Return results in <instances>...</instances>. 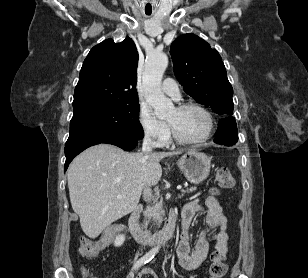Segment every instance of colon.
Here are the masks:
<instances>
[{
    "instance_id": "obj_1",
    "label": "colon",
    "mask_w": 308,
    "mask_h": 278,
    "mask_svg": "<svg viewBox=\"0 0 308 278\" xmlns=\"http://www.w3.org/2000/svg\"><path fill=\"white\" fill-rule=\"evenodd\" d=\"M215 183L218 188L228 189L234 185V178L230 171L226 168H221L215 176ZM126 229L122 226L105 227L102 232V237L99 239H90L87 237L80 238V253L85 257H95L99 254L103 247H113L115 237L121 234L125 235ZM225 254L215 251L211 254L209 265V278H223L227 271L225 263Z\"/></svg>"
}]
</instances>
